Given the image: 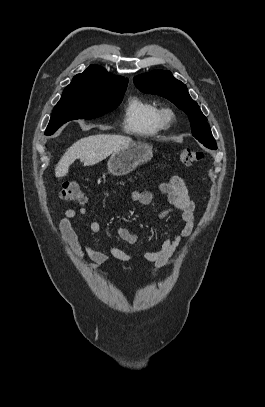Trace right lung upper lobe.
Listing matches in <instances>:
<instances>
[{"instance_id":"1","label":"right lung upper lobe","mask_w":265,"mask_h":407,"mask_svg":"<svg viewBox=\"0 0 265 407\" xmlns=\"http://www.w3.org/2000/svg\"><path fill=\"white\" fill-rule=\"evenodd\" d=\"M89 81L106 85H127L128 79L114 76L99 66L91 65L82 74L74 76L72 82Z\"/></svg>"}]
</instances>
